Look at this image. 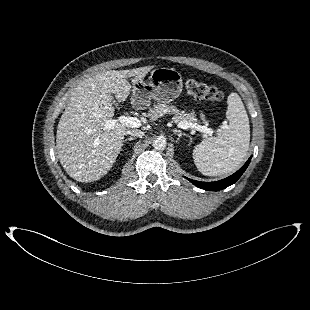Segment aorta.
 <instances>
[{
	"instance_id": "1",
	"label": "aorta",
	"mask_w": 310,
	"mask_h": 310,
	"mask_svg": "<svg viewBox=\"0 0 310 310\" xmlns=\"http://www.w3.org/2000/svg\"><path fill=\"white\" fill-rule=\"evenodd\" d=\"M166 139L165 137L158 136L157 138L154 139L153 141V147L155 150H164L166 148Z\"/></svg>"
}]
</instances>
